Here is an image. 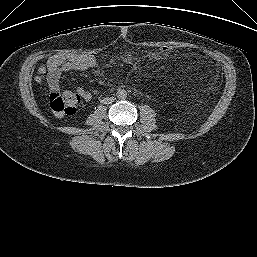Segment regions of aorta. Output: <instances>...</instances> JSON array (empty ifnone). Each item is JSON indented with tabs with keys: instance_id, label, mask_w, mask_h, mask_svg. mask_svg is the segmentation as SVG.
<instances>
[{
	"instance_id": "1",
	"label": "aorta",
	"mask_w": 257,
	"mask_h": 257,
	"mask_svg": "<svg viewBox=\"0 0 257 257\" xmlns=\"http://www.w3.org/2000/svg\"><path fill=\"white\" fill-rule=\"evenodd\" d=\"M116 95L119 100H125L127 98V91L125 89H118Z\"/></svg>"
}]
</instances>
